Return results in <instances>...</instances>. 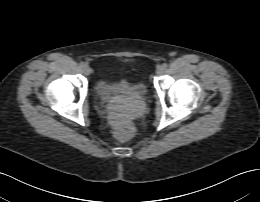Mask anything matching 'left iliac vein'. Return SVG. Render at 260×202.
I'll return each mask as SVG.
<instances>
[{
    "mask_svg": "<svg viewBox=\"0 0 260 202\" xmlns=\"http://www.w3.org/2000/svg\"><path fill=\"white\" fill-rule=\"evenodd\" d=\"M163 72H164V69H163L162 66L157 67V69H156V74H157V75H162Z\"/></svg>",
    "mask_w": 260,
    "mask_h": 202,
    "instance_id": "left-iliac-vein-1",
    "label": "left iliac vein"
}]
</instances>
